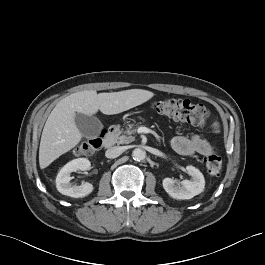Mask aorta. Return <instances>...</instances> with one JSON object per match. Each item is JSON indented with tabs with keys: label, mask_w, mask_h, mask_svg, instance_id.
I'll use <instances>...</instances> for the list:
<instances>
[{
	"label": "aorta",
	"mask_w": 265,
	"mask_h": 265,
	"mask_svg": "<svg viewBox=\"0 0 265 265\" xmlns=\"http://www.w3.org/2000/svg\"><path fill=\"white\" fill-rule=\"evenodd\" d=\"M132 157L136 161H142L146 158V152L140 148H136L132 152Z\"/></svg>",
	"instance_id": "1"
}]
</instances>
